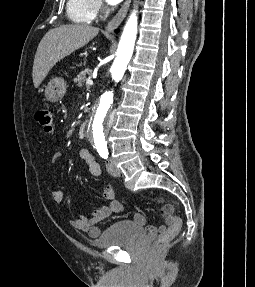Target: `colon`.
Wrapping results in <instances>:
<instances>
[{
	"mask_svg": "<svg viewBox=\"0 0 255 287\" xmlns=\"http://www.w3.org/2000/svg\"><path fill=\"white\" fill-rule=\"evenodd\" d=\"M36 120L40 124V126L43 128V130L47 133H53L54 132V118L53 113L49 108H41L37 111ZM182 226V220L178 215H173V221L170 224L169 228L166 229L161 235L158 237L156 241L157 247H162L168 242H170L172 239L176 237V235L179 233Z\"/></svg>",
	"mask_w": 255,
	"mask_h": 287,
	"instance_id": "1",
	"label": "colon"
}]
</instances>
